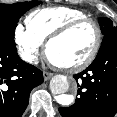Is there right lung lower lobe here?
Instances as JSON below:
<instances>
[{"label": "right lung lower lobe", "instance_id": "right-lung-lower-lobe-1", "mask_svg": "<svg viewBox=\"0 0 117 117\" xmlns=\"http://www.w3.org/2000/svg\"><path fill=\"white\" fill-rule=\"evenodd\" d=\"M41 83L42 71L22 61L15 42L0 36V117H21L31 90Z\"/></svg>", "mask_w": 117, "mask_h": 117}]
</instances>
